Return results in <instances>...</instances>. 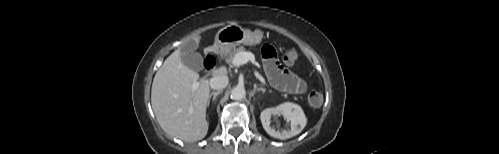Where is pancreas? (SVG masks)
Masks as SVG:
<instances>
[{"label":"pancreas","instance_id":"pancreas-1","mask_svg":"<svg viewBox=\"0 0 499 154\" xmlns=\"http://www.w3.org/2000/svg\"><path fill=\"white\" fill-rule=\"evenodd\" d=\"M240 52H245V48L243 46H240L238 48H230L223 50L221 52L222 58L225 59L227 63H231L234 56Z\"/></svg>","mask_w":499,"mask_h":154}]
</instances>
